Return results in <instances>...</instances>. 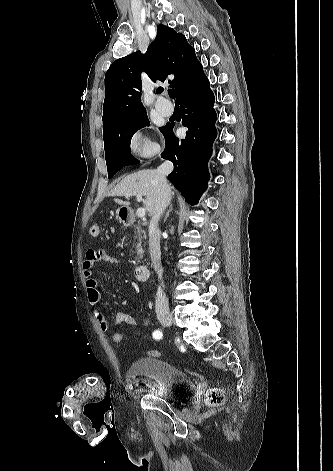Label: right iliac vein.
Wrapping results in <instances>:
<instances>
[{"mask_svg":"<svg viewBox=\"0 0 333 471\" xmlns=\"http://www.w3.org/2000/svg\"><path fill=\"white\" fill-rule=\"evenodd\" d=\"M159 321L165 326H171L173 324L172 316L169 314L161 315Z\"/></svg>","mask_w":333,"mask_h":471,"instance_id":"63e3f726","label":"right iliac vein"}]
</instances>
